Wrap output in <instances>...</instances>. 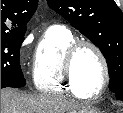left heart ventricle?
Here are the masks:
<instances>
[{
  "mask_svg": "<svg viewBox=\"0 0 123 113\" xmlns=\"http://www.w3.org/2000/svg\"><path fill=\"white\" fill-rule=\"evenodd\" d=\"M76 85L81 93L94 94L103 82V68L97 54L84 48L75 59L73 67Z\"/></svg>",
  "mask_w": 123,
  "mask_h": 113,
  "instance_id": "left-heart-ventricle-1",
  "label": "left heart ventricle"
}]
</instances>
